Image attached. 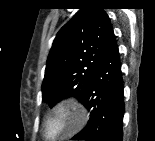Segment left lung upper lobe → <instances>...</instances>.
<instances>
[{
  "instance_id": "left-lung-upper-lobe-1",
  "label": "left lung upper lobe",
  "mask_w": 155,
  "mask_h": 141,
  "mask_svg": "<svg viewBox=\"0 0 155 141\" xmlns=\"http://www.w3.org/2000/svg\"><path fill=\"white\" fill-rule=\"evenodd\" d=\"M57 33L42 84V98L50 107L74 96L82 101L110 40V18L99 0H86Z\"/></svg>"
}]
</instances>
